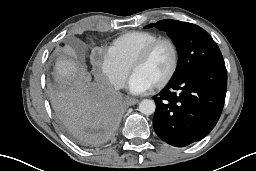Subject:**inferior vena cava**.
<instances>
[{
    "label": "inferior vena cava",
    "mask_w": 256,
    "mask_h": 171,
    "mask_svg": "<svg viewBox=\"0 0 256 171\" xmlns=\"http://www.w3.org/2000/svg\"><path fill=\"white\" fill-rule=\"evenodd\" d=\"M111 83L116 90H119V89L123 88V86H124V82L121 80H113Z\"/></svg>",
    "instance_id": "602c4592"
}]
</instances>
